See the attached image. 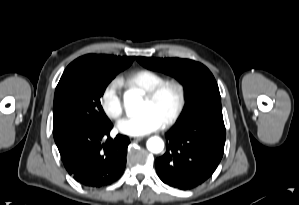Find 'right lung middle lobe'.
<instances>
[{"label": "right lung middle lobe", "mask_w": 299, "mask_h": 205, "mask_svg": "<svg viewBox=\"0 0 299 205\" xmlns=\"http://www.w3.org/2000/svg\"><path fill=\"white\" fill-rule=\"evenodd\" d=\"M125 68L70 64L65 69L54 96L53 136L57 145L79 130L110 123L100 98L109 82Z\"/></svg>", "instance_id": "right-lung-middle-lobe-1"}]
</instances>
